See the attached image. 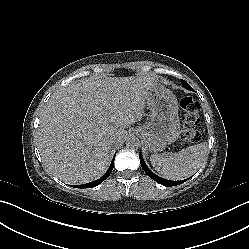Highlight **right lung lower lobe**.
<instances>
[{
  "label": "right lung lower lobe",
  "instance_id": "1",
  "mask_svg": "<svg viewBox=\"0 0 249 249\" xmlns=\"http://www.w3.org/2000/svg\"><path fill=\"white\" fill-rule=\"evenodd\" d=\"M114 159H115V157H114ZM114 159H113L108 171L100 179H98L96 181H93V182H90V183H87V184H84V185H79L78 188H92V187H95V186L99 185L105 179H107L109 177V175L111 174V171L113 169Z\"/></svg>",
  "mask_w": 249,
  "mask_h": 249
}]
</instances>
